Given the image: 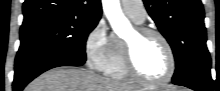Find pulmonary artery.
I'll return each instance as SVG.
<instances>
[{
    "label": "pulmonary artery",
    "mask_w": 220,
    "mask_h": 91,
    "mask_svg": "<svg viewBox=\"0 0 220 91\" xmlns=\"http://www.w3.org/2000/svg\"><path fill=\"white\" fill-rule=\"evenodd\" d=\"M123 11L136 23H142L146 19V10L143 2L140 0H123Z\"/></svg>",
    "instance_id": "obj_1"
}]
</instances>
